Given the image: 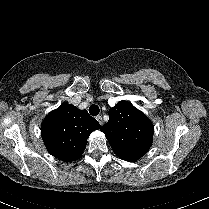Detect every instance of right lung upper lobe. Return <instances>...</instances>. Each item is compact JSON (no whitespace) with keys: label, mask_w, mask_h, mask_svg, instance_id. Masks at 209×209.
Wrapping results in <instances>:
<instances>
[{"label":"right lung upper lobe","mask_w":209,"mask_h":209,"mask_svg":"<svg viewBox=\"0 0 209 209\" xmlns=\"http://www.w3.org/2000/svg\"><path fill=\"white\" fill-rule=\"evenodd\" d=\"M100 128L86 110L63 103L44 119L41 134L47 150L54 157L71 162L85 150L89 135Z\"/></svg>","instance_id":"1"}]
</instances>
